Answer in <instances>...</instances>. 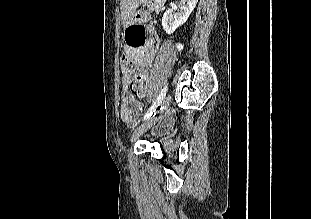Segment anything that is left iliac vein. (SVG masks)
<instances>
[{
    "label": "left iliac vein",
    "instance_id": "1",
    "mask_svg": "<svg viewBox=\"0 0 311 219\" xmlns=\"http://www.w3.org/2000/svg\"><path fill=\"white\" fill-rule=\"evenodd\" d=\"M171 102V96L168 95L164 101L162 102L160 109L156 112L155 115L151 116L146 122H144L141 126H139L132 134L131 141H135L139 138L143 133L149 130L160 118V115L164 113L169 107Z\"/></svg>",
    "mask_w": 311,
    "mask_h": 219
}]
</instances>
